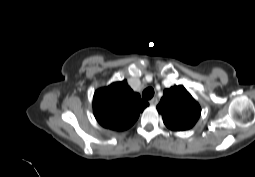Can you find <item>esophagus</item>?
Wrapping results in <instances>:
<instances>
[{"instance_id":"34e87169","label":"esophagus","mask_w":255,"mask_h":177,"mask_svg":"<svg viewBox=\"0 0 255 177\" xmlns=\"http://www.w3.org/2000/svg\"><path fill=\"white\" fill-rule=\"evenodd\" d=\"M149 103H150L151 105H157L158 99H157V98H153V99H151V100L149 101Z\"/></svg>"}]
</instances>
